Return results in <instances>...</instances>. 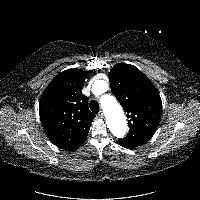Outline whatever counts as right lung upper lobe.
<instances>
[{
  "label": "right lung upper lobe",
  "instance_id": "cb5924a9",
  "mask_svg": "<svg viewBox=\"0 0 200 200\" xmlns=\"http://www.w3.org/2000/svg\"><path fill=\"white\" fill-rule=\"evenodd\" d=\"M87 72L69 69L57 75L45 89L39 104L42 126L59 148L76 150L85 141L95 114L81 92Z\"/></svg>",
  "mask_w": 200,
  "mask_h": 200
}]
</instances>
